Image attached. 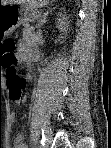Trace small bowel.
I'll use <instances>...</instances> for the list:
<instances>
[{
    "mask_svg": "<svg viewBox=\"0 0 111 148\" xmlns=\"http://www.w3.org/2000/svg\"><path fill=\"white\" fill-rule=\"evenodd\" d=\"M18 145L16 146L17 148H26L27 145L23 142V138L20 136L17 139Z\"/></svg>",
    "mask_w": 111,
    "mask_h": 148,
    "instance_id": "c3829d8e",
    "label": "small bowel"
}]
</instances>
